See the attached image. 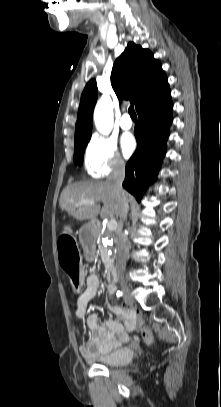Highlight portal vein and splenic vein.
Segmentation results:
<instances>
[{"label": "portal vein and splenic vein", "mask_w": 221, "mask_h": 407, "mask_svg": "<svg viewBox=\"0 0 221 407\" xmlns=\"http://www.w3.org/2000/svg\"><path fill=\"white\" fill-rule=\"evenodd\" d=\"M83 204H90V205H95V202L93 200H81L76 204V206H81ZM117 221L115 219H110L109 222L107 223V229L110 231H114L117 229Z\"/></svg>", "instance_id": "portal-vein-and-splenic-vein-1"}]
</instances>
